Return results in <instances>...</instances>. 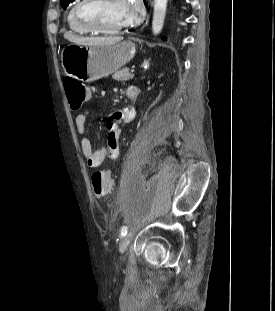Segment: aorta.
<instances>
[{
    "instance_id": "obj_1",
    "label": "aorta",
    "mask_w": 275,
    "mask_h": 311,
    "mask_svg": "<svg viewBox=\"0 0 275 311\" xmlns=\"http://www.w3.org/2000/svg\"><path fill=\"white\" fill-rule=\"evenodd\" d=\"M167 0L154 1V13L152 20V31L154 35H158L164 25L166 15Z\"/></svg>"
}]
</instances>
